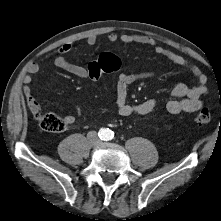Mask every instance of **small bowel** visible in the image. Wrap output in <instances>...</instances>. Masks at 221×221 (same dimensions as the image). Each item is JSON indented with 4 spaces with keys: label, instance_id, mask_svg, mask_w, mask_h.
Returning a JSON list of instances; mask_svg holds the SVG:
<instances>
[{
    "label": "small bowel",
    "instance_id": "obj_1",
    "mask_svg": "<svg viewBox=\"0 0 221 221\" xmlns=\"http://www.w3.org/2000/svg\"><path fill=\"white\" fill-rule=\"evenodd\" d=\"M107 39L110 43H116L121 40L124 43H136L144 46L151 47L155 53L168 59L174 65L188 69L195 77L196 84L188 86L186 84H178L172 90L173 99L170 100L166 108L172 114H179L183 112H195L202 107L201 97L207 93V77L201 70L195 65L190 64L180 54L168 50L161 45L157 44L154 39L146 35H121L119 36L115 32H110L107 35ZM88 45H95L97 37L94 35L89 36L86 39ZM73 48V43L67 42L58 49V54L54 59V64L61 70L70 73L79 78L88 79L89 71L87 66L79 65L68 60L65 55L69 53ZM39 65L36 63H29L27 65L28 74L24 77L23 82L25 84L23 93L26 98L27 105L30 111L37 116L40 111V106L33 96L32 90L29 85L33 82L32 75L39 72ZM153 73H139V74H120L116 84V104L118 112L121 116L129 117L132 115H146L154 110L156 107V101L154 99H147L138 104H130L128 102V89L130 84L142 79L153 77ZM67 126H72L75 123V118L71 115H65L63 117Z\"/></svg>",
    "mask_w": 221,
    "mask_h": 221
}]
</instances>
